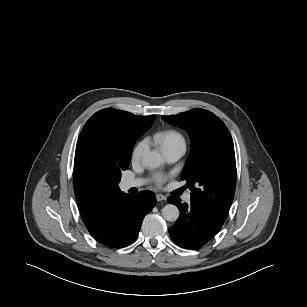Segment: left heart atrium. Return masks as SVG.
Returning a JSON list of instances; mask_svg holds the SVG:
<instances>
[{
	"instance_id": "1",
	"label": "left heart atrium",
	"mask_w": 307,
	"mask_h": 307,
	"mask_svg": "<svg viewBox=\"0 0 307 307\" xmlns=\"http://www.w3.org/2000/svg\"><path fill=\"white\" fill-rule=\"evenodd\" d=\"M165 179L166 177L163 174H155L153 177V180L157 185H161Z\"/></svg>"
}]
</instances>
